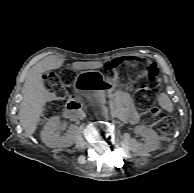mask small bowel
Returning a JSON list of instances; mask_svg holds the SVG:
<instances>
[{
  "label": "small bowel",
  "mask_w": 194,
  "mask_h": 193,
  "mask_svg": "<svg viewBox=\"0 0 194 193\" xmlns=\"http://www.w3.org/2000/svg\"><path fill=\"white\" fill-rule=\"evenodd\" d=\"M119 101L125 105L130 120L132 122H137L139 117L136 111L133 109L131 101L126 97H119Z\"/></svg>",
  "instance_id": "1"
}]
</instances>
